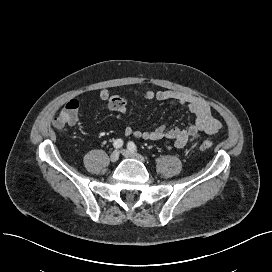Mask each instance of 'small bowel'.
<instances>
[{"mask_svg": "<svg viewBox=\"0 0 272 272\" xmlns=\"http://www.w3.org/2000/svg\"><path fill=\"white\" fill-rule=\"evenodd\" d=\"M134 93L144 100H176L194 113L196 120L193 124L185 127L168 128L165 125H161L153 130H140L128 126L124 130L125 136H134L151 141H163L167 147L185 148L202 134L213 135L222 128L221 123L213 116L210 103L202 98L174 90H147L145 92L135 91ZM98 95L108 110L118 113L127 111L128 101L124 97L111 94L107 88L100 89ZM86 100L87 98H84L82 101ZM79 107L80 102L78 100H71L62 111L64 115H69L71 118L69 126H76L79 123Z\"/></svg>", "mask_w": 272, "mask_h": 272, "instance_id": "small-bowel-1", "label": "small bowel"}]
</instances>
